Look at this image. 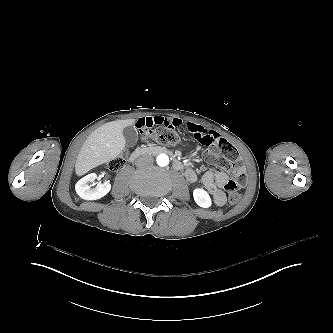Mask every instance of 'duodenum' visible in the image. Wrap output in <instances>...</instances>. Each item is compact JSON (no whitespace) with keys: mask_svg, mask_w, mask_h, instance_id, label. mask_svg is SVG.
<instances>
[{"mask_svg":"<svg viewBox=\"0 0 333 333\" xmlns=\"http://www.w3.org/2000/svg\"><path fill=\"white\" fill-rule=\"evenodd\" d=\"M160 153L171 154V152L168 149H166L165 147H161V146L143 147V148H138V149L134 150L131 153L129 160L131 162H133L141 156H144L147 154H160ZM173 166L177 170H181L183 167L181 161L178 160L177 158H173Z\"/></svg>","mask_w":333,"mask_h":333,"instance_id":"410a0bca","label":"duodenum"}]
</instances>
